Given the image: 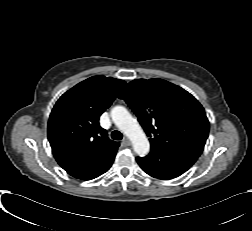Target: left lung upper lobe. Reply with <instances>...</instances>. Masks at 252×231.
<instances>
[{
	"instance_id": "obj_1",
	"label": "left lung upper lobe",
	"mask_w": 252,
	"mask_h": 231,
	"mask_svg": "<svg viewBox=\"0 0 252 231\" xmlns=\"http://www.w3.org/2000/svg\"><path fill=\"white\" fill-rule=\"evenodd\" d=\"M150 137L151 150L200 156L209 133L202 105L186 90L162 79H137L119 94Z\"/></svg>"
}]
</instances>
